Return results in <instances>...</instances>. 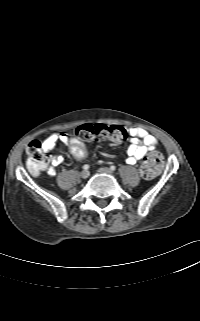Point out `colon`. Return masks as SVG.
Segmentation results:
<instances>
[{"instance_id": "1", "label": "colon", "mask_w": 200, "mask_h": 321, "mask_svg": "<svg viewBox=\"0 0 200 321\" xmlns=\"http://www.w3.org/2000/svg\"><path fill=\"white\" fill-rule=\"evenodd\" d=\"M128 137L127 130L121 126L103 124H85L75 130V136L65 140V147L76 161L88 159L89 153L83 141L107 140L116 143L124 142ZM27 166L32 174L40 173L49 162V156L39 140L32 141L27 148ZM163 157L157 151L150 152L143 160L140 173L145 179L155 178L163 168Z\"/></svg>"}]
</instances>
